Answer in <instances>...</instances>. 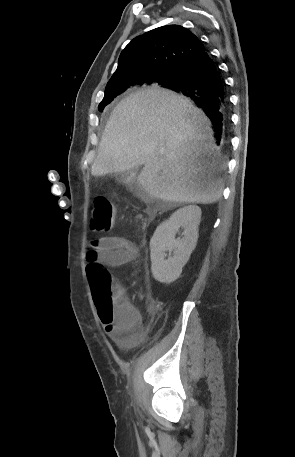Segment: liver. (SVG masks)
Masks as SVG:
<instances>
[{"mask_svg": "<svg viewBox=\"0 0 295 457\" xmlns=\"http://www.w3.org/2000/svg\"><path fill=\"white\" fill-rule=\"evenodd\" d=\"M205 113L173 91L152 88L130 94L105 126L93 176L143 165L137 182L152 198L210 204L222 195L220 154Z\"/></svg>", "mask_w": 295, "mask_h": 457, "instance_id": "liver-1", "label": "liver"}]
</instances>
